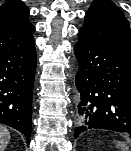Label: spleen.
I'll return each mask as SVG.
<instances>
[{"instance_id": "3e777b00", "label": "spleen", "mask_w": 131, "mask_h": 151, "mask_svg": "<svg viewBox=\"0 0 131 151\" xmlns=\"http://www.w3.org/2000/svg\"><path fill=\"white\" fill-rule=\"evenodd\" d=\"M117 146L121 148V151H128V146L123 142H118Z\"/></svg>"}]
</instances>
